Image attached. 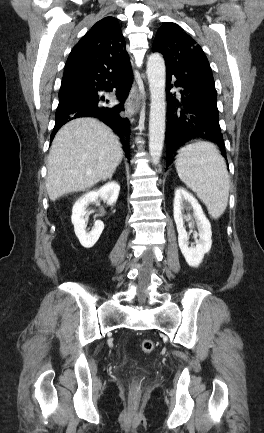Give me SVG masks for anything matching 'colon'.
Instances as JSON below:
<instances>
[{"label": "colon", "mask_w": 264, "mask_h": 433, "mask_svg": "<svg viewBox=\"0 0 264 433\" xmlns=\"http://www.w3.org/2000/svg\"><path fill=\"white\" fill-rule=\"evenodd\" d=\"M140 347H141V350L143 353L148 354L154 350L155 344L151 339H144V340H142Z\"/></svg>", "instance_id": "5ec220e1"}]
</instances>
